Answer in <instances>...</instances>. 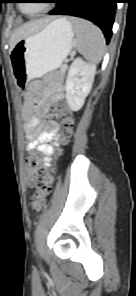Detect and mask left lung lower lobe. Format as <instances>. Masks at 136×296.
Listing matches in <instances>:
<instances>
[{
	"label": "left lung lower lobe",
	"instance_id": "left-lung-lower-lobe-1",
	"mask_svg": "<svg viewBox=\"0 0 136 296\" xmlns=\"http://www.w3.org/2000/svg\"><path fill=\"white\" fill-rule=\"evenodd\" d=\"M118 2L119 0H57L56 8L49 14L71 15L94 22L104 33L108 44Z\"/></svg>",
	"mask_w": 136,
	"mask_h": 296
}]
</instances>
